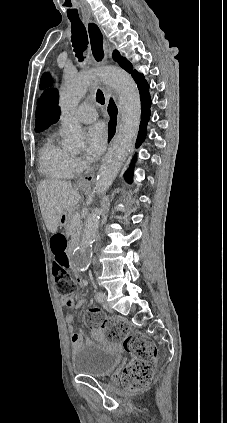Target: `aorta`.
I'll return each mask as SVG.
<instances>
[{
	"instance_id": "1",
	"label": "aorta",
	"mask_w": 227,
	"mask_h": 423,
	"mask_svg": "<svg viewBox=\"0 0 227 423\" xmlns=\"http://www.w3.org/2000/svg\"><path fill=\"white\" fill-rule=\"evenodd\" d=\"M97 77L102 78L117 91L120 110L118 134L105 156L95 183V193L103 195L116 178L136 140L141 117V103L136 83L127 72L117 67L66 76L61 86L59 99L66 148L79 149L84 145L82 128L75 120L74 112L88 87ZM99 222L100 209L95 208L87 218L81 240L74 250L73 264L79 271L87 270L91 263L90 248L96 238Z\"/></svg>"
}]
</instances>
